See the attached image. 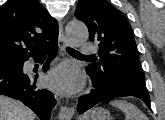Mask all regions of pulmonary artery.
Returning a JSON list of instances; mask_svg holds the SVG:
<instances>
[{
  "label": "pulmonary artery",
  "mask_w": 165,
  "mask_h": 120,
  "mask_svg": "<svg viewBox=\"0 0 165 120\" xmlns=\"http://www.w3.org/2000/svg\"><path fill=\"white\" fill-rule=\"evenodd\" d=\"M97 51V47L92 43H83L81 46V52L84 55L94 54Z\"/></svg>",
  "instance_id": "obj_1"
}]
</instances>
